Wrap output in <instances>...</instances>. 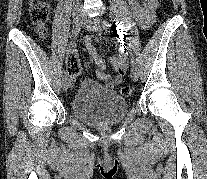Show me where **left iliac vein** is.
<instances>
[{
    "instance_id": "left-iliac-vein-1",
    "label": "left iliac vein",
    "mask_w": 207,
    "mask_h": 179,
    "mask_svg": "<svg viewBox=\"0 0 207 179\" xmlns=\"http://www.w3.org/2000/svg\"><path fill=\"white\" fill-rule=\"evenodd\" d=\"M103 22L104 20L100 18L89 19L87 17H84L82 20V27L88 31L96 32L100 31L102 28H106ZM131 78L133 81H137L139 78V73L136 65L132 66L131 68Z\"/></svg>"
}]
</instances>
